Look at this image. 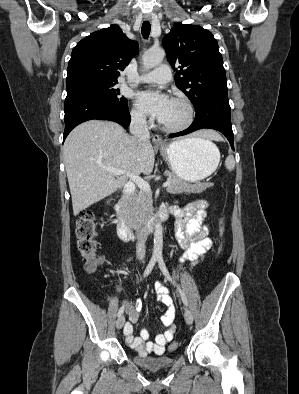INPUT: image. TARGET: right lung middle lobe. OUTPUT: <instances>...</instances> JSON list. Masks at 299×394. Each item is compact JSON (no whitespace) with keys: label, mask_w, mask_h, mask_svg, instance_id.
<instances>
[{"label":"right lung middle lobe","mask_w":299,"mask_h":394,"mask_svg":"<svg viewBox=\"0 0 299 394\" xmlns=\"http://www.w3.org/2000/svg\"><path fill=\"white\" fill-rule=\"evenodd\" d=\"M117 82H93L67 88V97L91 94L109 99L113 104L122 106L127 104L125 97L120 96L119 89L115 88Z\"/></svg>","instance_id":"right-lung-middle-lobe-1"}]
</instances>
